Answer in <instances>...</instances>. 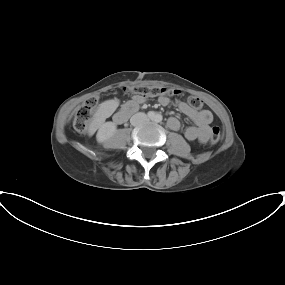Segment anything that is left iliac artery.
<instances>
[{
    "label": "left iliac artery",
    "mask_w": 285,
    "mask_h": 285,
    "mask_svg": "<svg viewBox=\"0 0 285 285\" xmlns=\"http://www.w3.org/2000/svg\"><path fill=\"white\" fill-rule=\"evenodd\" d=\"M156 120H157V121H160V120H161V117H160L159 115H157V116H156Z\"/></svg>",
    "instance_id": "obj_1"
}]
</instances>
